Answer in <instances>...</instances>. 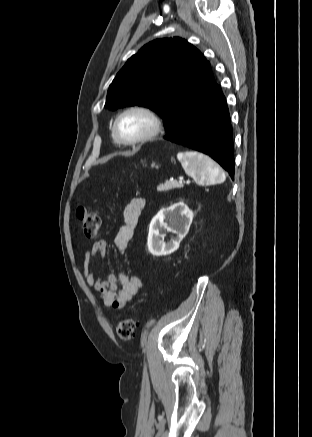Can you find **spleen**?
Wrapping results in <instances>:
<instances>
[{
	"mask_svg": "<svg viewBox=\"0 0 312 437\" xmlns=\"http://www.w3.org/2000/svg\"><path fill=\"white\" fill-rule=\"evenodd\" d=\"M177 158L185 173L200 184H220L226 179L224 171L210 157L195 152H179Z\"/></svg>",
	"mask_w": 312,
	"mask_h": 437,
	"instance_id": "spleen-1",
	"label": "spleen"
}]
</instances>
